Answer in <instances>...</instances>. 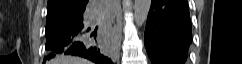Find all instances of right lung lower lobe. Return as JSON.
<instances>
[{"instance_id": "right-lung-lower-lobe-1", "label": "right lung lower lobe", "mask_w": 242, "mask_h": 64, "mask_svg": "<svg viewBox=\"0 0 242 64\" xmlns=\"http://www.w3.org/2000/svg\"><path fill=\"white\" fill-rule=\"evenodd\" d=\"M88 1L85 3L86 7ZM105 16L113 13L112 5H107L103 10ZM90 19H83L68 25L58 27L46 35V56L45 60H50L58 55H74L87 58L96 64H112L101 45L87 33L90 30ZM95 39V40H94ZM45 62V61H44Z\"/></svg>"}]
</instances>
